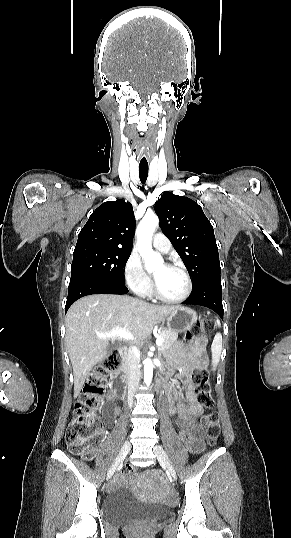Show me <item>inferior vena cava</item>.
Here are the masks:
<instances>
[{
    "label": "inferior vena cava",
    "mask_w": 291,
    "mask_h": 538,
    "mask_svg": "<svg viewBox=\"0 0 291 538\" xmlns=\"http://www.w3.org/2000/svg\"><path fill=\"white\" fill-rule=\"evenodd\" d=\"M138 349L130 346L128 350L129 376H128V404L132 407L133 397L140 381L139 361L137 359Z\"/></svg>",
    "instance_id": "1"
}]
</instances>
